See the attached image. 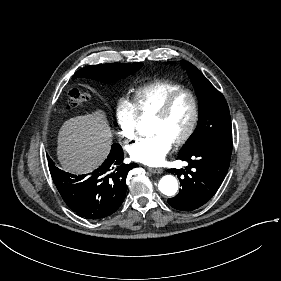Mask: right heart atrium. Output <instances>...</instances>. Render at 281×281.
<instances>
[{"mask_svg":"<svg viewBox=\"0 0 281 281\" xmlns=\"http://www.w3.org/2000/svg\"><path fill=\"white\" fill-rule=\"evenodd\" d=\"M116 118L119 133L123 140L124 150H129L128 142L138 137L136 111L132 104L124 98H119L116 103Z\"/></svg>","mask_w":281,"mask_h":281,"instance_id":"1","label":"right heart atrium"}]
</instances>
